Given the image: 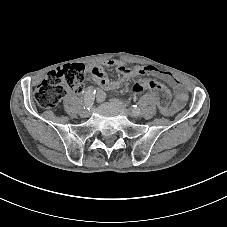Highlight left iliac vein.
Listing matches in <instances>:
<instances>
[{"label": "left iliac vein", "instance_id": "4c4485c4", "mask_svg": "<svg viewBox=\"0 0 227 227\" xmlns=\"http://www.w3.org/2000/svg\"><path fill=\"white\" fill-rule=\"evenodd\" d=\"M112 102L115 103V104H117V105H118L121 109H123L127 114H130V113H131V111H129V110L126 108L125 104L122 103L120 100L113 99ZM132 114H133V113H132ZM133 115H134V116H137L136 113L133 114Z\"/></svg>", "mask_w": 227, "mask_h": 227}]
</instances>
